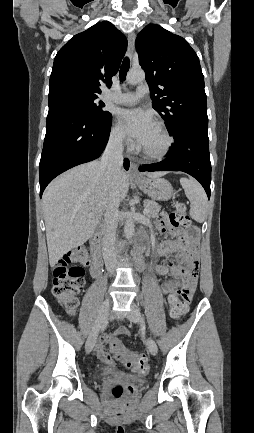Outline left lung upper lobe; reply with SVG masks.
<instances>
[{"mask_svg": "<svg viewBox=\"0 0 254 433\" xmlns=\"http://www.w3.org/2000/svg\"><path fill=\"white\" fill-rule=\"evenodd\" d=\"M139 63L146 73L152 107L174 135L180 129L208 127L204 76L197 54L182 37L149 24L137 35Z\"/></svg>", "mask_w": 254, "mask_h": 433, "instance_id": "left-lung-upper-lobe-1", "label": "left lung upper lobe"}]
</instances>
